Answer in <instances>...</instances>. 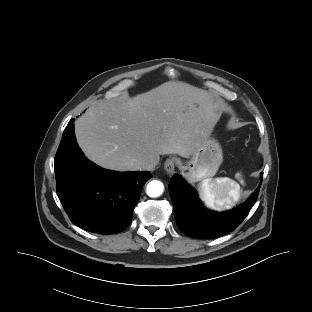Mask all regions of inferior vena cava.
I'll use <instances>...</instances> for the list:
<instances>
[{"label":"inferior vena cava","instance_id":"1","mask_svg":"<svg viewBox=\"0 0 312 312\" xmlns=\"http://www.w3.org/2000/svg\"><path fill=\"white\" fill-rule=\"evenodd\" d=\"M158 164V161L155 159H147L142 162L141 164V169L142 170H148V171H153Z\"/></svg>","mask_w":312,"mask_h":312}]
</instances>
